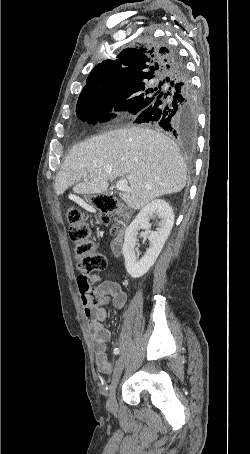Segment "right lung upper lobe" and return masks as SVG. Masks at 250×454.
Returning a JSON list of instances; mask_svg holds the SVG:
<instances>
[{"instance_id": "obj_1", "label": "right lung upper lobe", "mask_w": 250, "mask_h": 454, "mask_svg": "<svg viewBox=\"0 0 250 454\" xmlns=\"http://www.w3.org/2000/svg\"><path fill=\"white\" fill-rule=\"evenodd\" d=\"M170 68L166 47L152 41L137 43L116 60H104L93 68L77 104L117 97L151 79L160 80V86Z\"/></svg>"}]
</instances>
